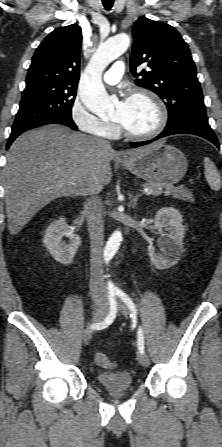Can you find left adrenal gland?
<instances>
[{"label":"left adrenal gland","mask_w":222,"mask_h":447,"mask_svg":"<svg viewBox=\"0 0 222 447\" xmlns=\"http://www.w3.org/2000/svg\"><path fill=\"white\" fill-rule=\"evenodd\" d=\"M141 196V194H138V195H136V196H133V195H129V198L131 199L130 200V204H131V207L132 208H135L136 207V205H137V201H138V199H139V197Z\"/></svg>","instance_id":"1"}]
</instances>
